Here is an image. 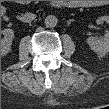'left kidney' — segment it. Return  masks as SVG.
<instances>
[{"label":"left kidney","mask_w":109,"mask_h":109,"mask_svg":"<svg viewBox=\"0 0 109 109\" xmlns=\"http://www.w3.org/2000/svg\"><path fill=\"white\" fill-rule=\"evenodd\" d=\"M102 22H108V16H102L99 19ZM87 44L96 53L106 54L109 51V33H106L102 39L96 37L87 38Z\"/></svg>","instance_id":"1"}]
</instances>
